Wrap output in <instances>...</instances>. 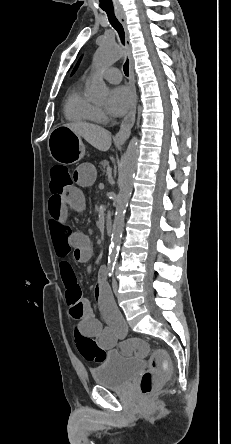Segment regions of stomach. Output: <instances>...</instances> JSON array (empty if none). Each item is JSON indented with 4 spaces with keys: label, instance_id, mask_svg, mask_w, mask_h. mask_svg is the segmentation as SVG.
Listing matches in <instances>:
<instances>
[{
    "label": "stomach",
    "instance_id": "stomach-1",
    "mask_svg": "<svg viewBox=\"0 0 231 444\" xmlns=\"http://www.w3.org/2000/svg\"><path fill=\"white\" fill-rule=\"evenodd\" d=\"M51 157L59 163H76L85 155V147L80 136L65 126L56 127L48 139Z\"/></svg>",
    "mask_w": 231,
    "mask_h": 444
}]
</instances>
